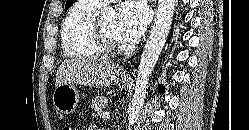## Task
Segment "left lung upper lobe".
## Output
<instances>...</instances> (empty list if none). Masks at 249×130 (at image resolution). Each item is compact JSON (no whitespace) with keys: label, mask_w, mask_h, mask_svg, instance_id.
Listing matches in <instances>:
<instances>
[{"label":"left lung upper lobe","mask_w":249,"mask_h":130,"mask_svg":"<svg viewBox=\"0 0 249 130\" xmlns=\"http://www.w3.org/2000/svg\"><path fill=\"white\" fill-rule=\"evenodd\" d=\"M75 0H67L66 1V5H65V8L68 9L71 7V5L74 3Z\"/></svg>","instance_id":"left-lung-upper-lobe-1"}]
</instances>
